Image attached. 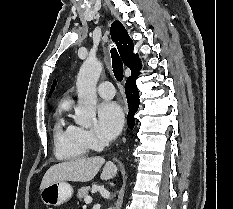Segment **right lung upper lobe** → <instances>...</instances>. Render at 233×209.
Returning <instances> with one entry per match:
<instances>
[{
	"label": "right lung upper lobe",
	"mask_w": 233,
	"mask_h": 209,
	"mask_svg": "<svg viewBox=\"0 0 233 209\" xmlns=\"http://www.w3.org/2000/svg\"><path fill=\"white\" fill-rule=\"evenodd\" d=\"M110 33L124 64L131 69V76L139 74L141 69L140 59L137 54H133L134 45L125 27L119 21H114ZM55 85L56 81L53 82L49 95L53 92Z\"/></svg>",
	"instance_id": "cb5924a9"
}]
</instances>
